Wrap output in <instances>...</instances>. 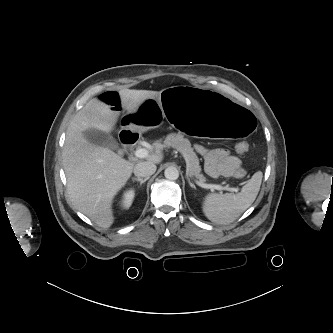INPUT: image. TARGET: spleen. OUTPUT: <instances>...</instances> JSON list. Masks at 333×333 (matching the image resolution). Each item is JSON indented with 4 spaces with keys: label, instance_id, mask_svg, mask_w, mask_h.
Instances as JSON below:
<instances>
[{
    "label": "spleen",
    "instance_id": "obj_1",
    "mask_svg": "<svg viewBox=\"0 0 333 333\" xmlns=\"http://www.w3.org/2000/svg\"><path fill=\"white\" fill-rule=\"evenodd\" d=\"M263 173L256 172L238 194L210 193L205 196L202 211L216 224H230L255 201L260 190Z\"/></svg>",
    "mask_w": 333,
    "mask_h": 333
}]
</instances>
